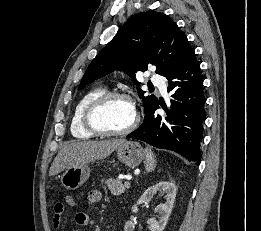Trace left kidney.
<instances>
[{"label": "left kidney", "instance_id": "obj_1", "mask_svg": "<svg viewBox=\"0 0 261 231\" xmlns=\"http://www.w3.org/2000/svg\"><path fill=\"white\" fill-rule=\"evenodd\" d=\"M176 185L173 182L169 181H161L151 187H149L145 192L142 194V196L137 201V204H135L132 207V212L137 213L138 212V205L143 203H149L153 197L154 194L157 192L159 193H165L166 196V202L164 204H159L155 208V212H158L160 215L159 220L155 219H149L147 221V224L151 231H163L166 227V224L168 222L169 216L173 209V204L176 197ZM135 228V225L132 221H127L125 224L124 231H133Z\"/></svg>", "mask_w": 261, "mask_h": 231}]
</instances>
